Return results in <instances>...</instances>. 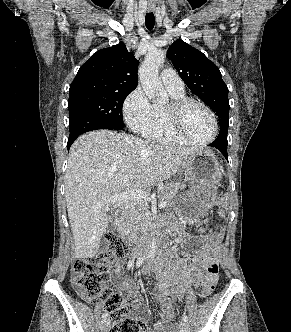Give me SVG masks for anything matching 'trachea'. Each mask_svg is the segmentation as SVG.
I'll list each match as a JSON object with an SVG mask.
<instances>
[{"instance_id":"obj_1","label":"trachea","mask_w":291,"mask_h":332,"mask_svg":"<svg viewBox=\"0 0 291 332\" xmlns=\"http://www.w3.org/2000/svg\"><path fill=\"white\" fill-rule=\"evenodd\" d=\"M155 18L153 12L147 13L145 16V25L148 30H152L154 28Z\"/></svg>"}]
</instances>
